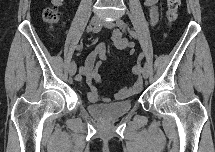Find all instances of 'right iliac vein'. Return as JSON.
I'll use <instances>...</instances> for the list:
<instances>
[{"mask_svg": "<svg viewBox=\"0 0 215 152\" xmlns=\"http://www.w3.org/2000/svg\"><path fill=\"white\" fill-rule=\"evenodd\" d=\"M100 22H101L100 18H99L98 16H94V17L91 18L90 24H91L92 26H96V25H98ZM76 69H77V67H76L75 62H72V63L70 64V67H69V73H70L71 76H74V75H75Z\"/></svg>", "mask_w": 215, "mask_h": 152, "instance_id": "63e3f726", "label": "right iliac vein"}]
</instances>
